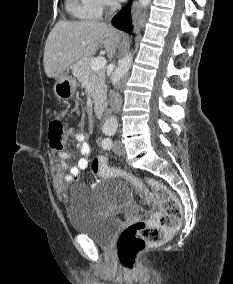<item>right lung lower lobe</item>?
I'll return each instance as SVG.
<instances>
[{
	"instance_id": "obj_1",
	"label": "right lung lower lobe",
	"mask_w": 233,
	"mask_h": 284,
	"mask_svg": "<svg viewBox=\"0 0 233 284\" xmlns=\"http://www.w3.org/2000/svg\"><path fill=\"white\" fill-rule=\"evenodd\" d=\"M112 24L129 34L132 32L131 2L112 19Z\"/></svg>"
}]
</instances>
